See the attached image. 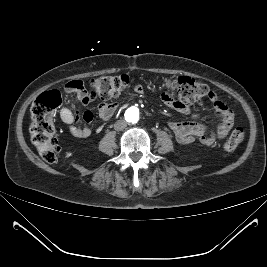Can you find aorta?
Segmentation results:
<instances>
[{"mask_svg":"<svg viewBox=\"0 0 267 267\" xmlns=\"http://www.w3.org/2000/svg\"><path fill=\"white\" fill-rule=\"evenodd\" d=\"M125 118L130 123H136L139 119V111L136 108H129L125 112Z\"/></svg>","mask_w":267,"mask_h":267,"instance_id":"1","label":"aorta"}]
</instances>
